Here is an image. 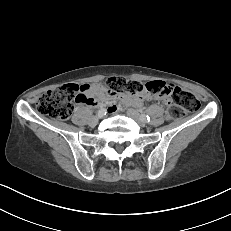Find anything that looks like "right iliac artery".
I'll list each match as a JSON object with an SVG mask.
<instances>
[{"label":"right iliac artery","mask_w":231,"mask_h":231,"mask_svg":"<svg viewBox=\"0 0 231 231\" xmlns=\"http://www.w3.org/2000/svg\"><path fill=\"white\" fill-rule=\"evenodd\" d=\"M106 114V111H105V109L104 108H101L99 111H98V114Z\"/></svg>","instance_id":"right-iliac-artery-1"}]
</instances>
